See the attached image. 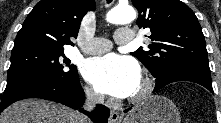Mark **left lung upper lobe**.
<instances>
[{"instance_id": "obj_1", "label": "left lung upper lobe", "mask_w": 221, "mask_h": 123, "mask_svg": "<svg viewBox=\"0 0 221 123\" xmlns=\"http://www.w3.org/2000/svg\"><path fill=\"white\" fill-rule=\"evenodd\" d=\"M139 12L136 24L150 28V50L131 53L156 77L172 68L209 69L201 26L194 12L179 0H132Z\"/></svg>"}]
</instances>
